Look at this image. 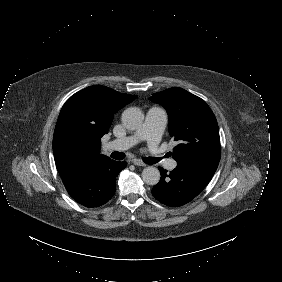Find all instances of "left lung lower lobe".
<instances>
[{
  "label": "left lung lower lobe",
  "mask_w": 282,
  "mask_h": 282,
  "mask_svg": "<svg viewBox=\"0 0 282 282\" xmlns=\"http://www.w3.org/2000/svg\"><path fill=\"white\" fill-rule=\"evenodd\" d=\"M219 161L196 158L177 163V167L167 174L159 167L160 182L152 189L153 196L161 203L179 207L194 199L209 183Z\"/></svg>",
  "instance_id": "left-lung-lower-lobe-1"
}]
</instances>
